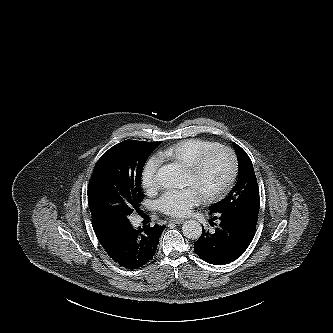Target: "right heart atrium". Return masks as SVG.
Here are the masks:
<instances>
[{
	"label": "right heart atrium",
	"instance_id": "d8ad5b80",
	"mask_svg": "<svg viewBox=\"0 0 333 333\" xmlns=\"http://www.w3.org/2000/svg\"><path fill=\"white\" fill-rule=\"evenodd\" d=\"M162 164V157L154 154L148 157L140 172V181L142 187L148 194H154L159 189L158 170Z\"/></svg>",
	"mask_w": 333,
	"mask_h": 333
}]
</instances>
